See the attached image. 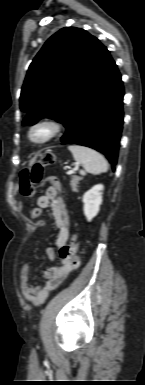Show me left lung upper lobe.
<instances>
[{
    "label": "left lung upper lobe",
    "mask_w": 145,
    "mask_h": 385,
    "mask_svg": "<svg viewBox=\"0 0 145 385\" xmlns=\"http://www.w3.org/2000/svg\"><path fill=\"white\" fill-rule=\"evenodd\" d=\"M99 40L66 27L51 36L29 66L20 97L23 125L41 118L65 123L94 59Z\"/></svg>",
    "instance_id": "obj_1"
}]
</instances>
